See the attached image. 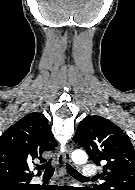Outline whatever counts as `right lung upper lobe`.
Instances as JSON below:
<instances>
[{"label":"right lung upper lobe","mask_w":135,"mask_h":190,"mask_svg":"<svg viewBox=\"0 0 135 190\" xmlns=\"http://www.w3.org/2000/svg\"><path fill=\"white\" fill-rule=\"evenodd\" d=\"M55 146L46 117L35 112L26 115L0 137V182L28 184L32 160L45 162L42 153Z\"/></svg>","instance_id":"obj_1"}]
</instances>
